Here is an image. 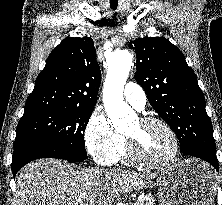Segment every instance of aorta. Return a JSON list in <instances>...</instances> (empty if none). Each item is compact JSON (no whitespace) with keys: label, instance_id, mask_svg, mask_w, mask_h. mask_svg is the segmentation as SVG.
Listing matches in <instances>:
<instances>
[{"label":"aorta","instance_id":"762f6f07","mask_svg":"<svg viewBox=\"0 0 222 205\" xmlns=\"http://www.w3.org/2000/svg\"><path fill=\"white\" fill-rule=\"evenodd\" d=\"M132 65V56L127 51L115 52L108 61V72L103 89L105 111L111 125L123 132L134 119L135 112L123 100L126 79Z\"/></svg>","mask_w":222,"mask_h":205}]
</instances>
